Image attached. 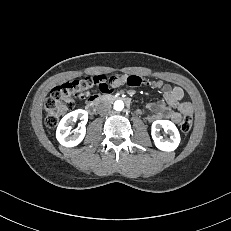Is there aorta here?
Wrapping results in <instances>:
<instances>
[{
    "label": "aorta",
    "mask_w": 231,
    "mask_h": 231,
    "mask_svg": "<svg viewBox=\"0 0 231 231\" xmlns=\"http://www.w3.org/2000/svg\"><path fill=\"white\" fill-rule=\"evenodd\" d=\"M124 108V102L122 100H117L114 102V109L116 111H122Z\"/></svg>",
    "instance_id": "aorta-1"
}]
</instances>
